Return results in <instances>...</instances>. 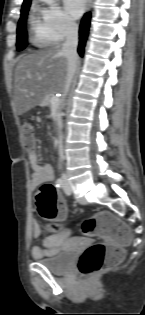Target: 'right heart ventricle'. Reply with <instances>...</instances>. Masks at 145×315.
<instances>
[{"label": "right heart ventricle", "mask_w": 145, "mask_h": 315, "mask_svg": "<svg viewBox=\"0 0 145 315\" xmlns=\"http://www.w3.org/2000/svg\"><path fill=\"white\" fill-rule=\"evenodd\" d=\"M30 39L36 47H46L51 43L39 18L35 16L30 18Z\"/></svg>", "instance_id": "e07e8e85"}]
</instances>
